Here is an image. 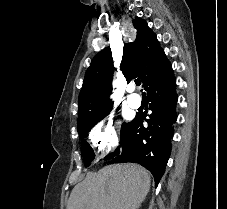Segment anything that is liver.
I'll return each instance as SVG.
<instances>
[{
	"instance_id": "6515ba94",
	"label": "liver",
	"mask_w": 227,
	"mask_h": 209,
	"mask_svg": "<svg viewBox=\"0 0 227 209\" xmlns=\"http://www.w3.org/2000/svg\"><path fill=\"white\" fill-rule=\"evenodd\" d=\"M150 183L140 165H107L74 187L67 209H139Z\"/></svg>"
}]
</instances>
